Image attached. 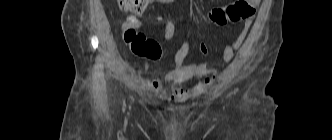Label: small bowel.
I'll list each match as a JSON object with an SVG mask.
<instances>
[{"label": "small bowel", "instance_id": "c3829d8e", "mask_svg": "<svg viewBox=\"0 0 332 140\" xmlns=\"http://www.w3.org/2000/svg\"><path fill=\"white\" fill-rule=\"evenodd\" d=\"M156 1L164 4H171L176 2V0H156ZM250 27H251V20L248 19L244 22L241 32L234 41L232 42L224 41L225 46L223 50L222 59L225 64L229 63L232 60L235 51L240 47L245 37L247 36ZM199 48L200 52L204 57V60L199 64H185L184 60L188 55L190 49V41L189 39H186L175 53L174 56L175 68L168 71L165 74L151 72L149 65L146 63L145 69L148 72H151L152 74L156 75L157 78L148 79L146 80L145 84L148 85L149 87L158 90L159 92L165 93L166 90L163 88L161 82L164 81L165 83L171 85L174 88V92L177 96H182L184 92L182 89H178L177 88L178 86L194 79L207 81L208 77L215 72V69L209 68L207 66V62L205 60L208 54L207 45L202 42Z\"/></svg>", "mask_w": 332, "mask_h": 140}]
</instances>
